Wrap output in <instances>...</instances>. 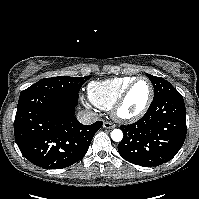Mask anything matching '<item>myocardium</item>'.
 Returning a JSON list of instances; mask_svg holds the SVG:
<instances>
[{
	"instance_id": "myocardium-1",
	"label": "myocardium",
	"mask_w": 199,
	"mask_h": 199,
	"mask_svg": "<svg viewBox=\"0 0 199 199\" xmlns=\"http://www.w3.org/2000/svg\"><path fill=\"white\" fill-rule=\"evenodd\" d=\"M140 80H144V81L148 82V84L150 86L149 97H148L146 103L144 104V106L137 113L126 114L122 111L123 106L126 102V99L129 95L131 89ZM153 98H154V85L151 82V80L146 76H138V77L134 78L129 83V85L125 88V90L122 92V94L119 96V98L116 100V102L112 106V109H111L112 116L116 120L121 121V122H125V123L135 122V121L141 119L146 114V112L148 111V109L153 101Z\"/></svg>"
}]
</instances>
